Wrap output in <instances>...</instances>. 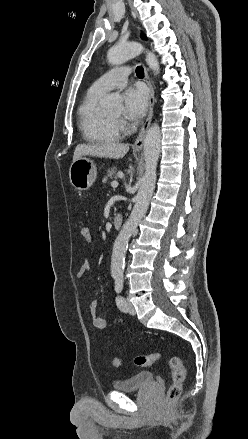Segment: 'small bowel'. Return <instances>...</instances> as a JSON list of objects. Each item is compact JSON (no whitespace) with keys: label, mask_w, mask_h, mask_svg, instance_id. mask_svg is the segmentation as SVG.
Returning a JSON list of instances; mask_svg holds the SVG:
<instances>
[{"label":"small bowel","mask_w":248,"mask_h":439,"mask_svg":"<svg viewBox=\"0 0 248 439\" xmlns=\"http://www.w3.org/2000/svg\"><path fill=\"white\" fill-rule=\"evenodd\" d=\"M90 269H91L90 261L88 259L84 260L77 272L76 275L77 278L79 280L84 279L85 276L89 273ZM97 306H98V302L96 299L90 300L89 308H90V314L92 317L93 325L98 329H104L107 326V321L105 318L98 315Z\"/></svg>","instance_id":"1"}]
</instances>
